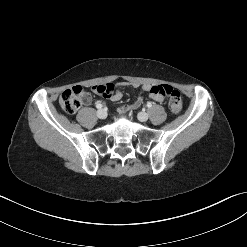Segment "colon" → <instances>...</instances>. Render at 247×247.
I'll return each mask as SVG.
<instances>
[{
	"label": "colon",
	"instance_id": "colon-1",
	"mask_svg": "<svg viewBox=\"0 0 247 247\" xmlns=\"http://www.w3.org/2000/svg\"><path fill=\"white\" fill-rule=\"evenodd\" d=\"M93 91L102 95L105 94L109 89V84L96 85L93 88ZM87 93L81 86H75L70 89L65 90L59 100L61 108L69 114L75 113L83 102H85ZM169 110L173 114H177L182 109V99L181 95L177 90L171 89L168 85H155L149 90L150 100L155 103H165L168 99ZM145 102L143 96H138L135 99V102H125V111H133L138 108ZM118 109H122V106H118Z\"/></svg>",
	"mask_w": 247,
	"mask_h": 247
}]
</instances>
